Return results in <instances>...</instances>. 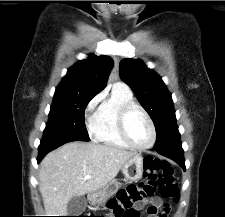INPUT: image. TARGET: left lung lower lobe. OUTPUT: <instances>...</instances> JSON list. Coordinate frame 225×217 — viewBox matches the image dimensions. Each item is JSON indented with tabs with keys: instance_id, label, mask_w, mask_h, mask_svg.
<instances>
[{
	"instance_id": "0a47b994",
	"label": "left lung lower lobe",
	"mask_w": 225,
	"mask_h": 217,
	"mask_svg": "<svg viewBox=\"0 0 225 217\" xmlns=\"http://www.w3.org/2000/svg\"><path fill=\"white\" fill-rule=\"evenodd\" d=\"M153 151L168 157L177 162L185 170L184 151L181 147L180 141H175L171 144H167L161 147L153 148Z\"/></svg>"
}]
</instances>
